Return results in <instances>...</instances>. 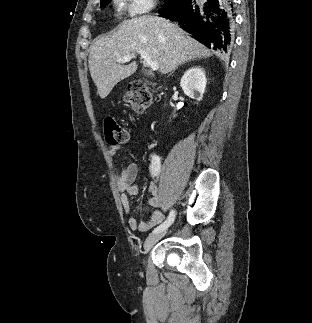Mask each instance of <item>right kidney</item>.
Returning a JSON list of instances; mask_svg holds the SVG:
<instances>
[{
	"label": "right kidney",
	"mask_w": 312,
	"mask_h": 323,
	"mask_svg": "<svg viewBox=\"0 0 312 323\" xmlns=\"http://www.w3.org/2000/svg\"><path fill=\"white\" fill-rule=\"evenodd\" d=\"M206 82L205 72L201 66H193L182 76L180 86L186 96L200 102L205 92Z\"/></svg>",
	"instance_id": "right-kidney-1"
}]
</instances>
